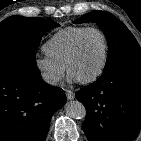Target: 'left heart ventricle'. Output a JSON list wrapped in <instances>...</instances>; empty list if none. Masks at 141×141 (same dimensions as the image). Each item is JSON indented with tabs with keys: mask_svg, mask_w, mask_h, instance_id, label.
<instances>
[{
	"mask_svg": "<svg viewBox=\"0 0 141 141\" xmlns=\"http://www.w3.org/2000/svg\"><path fill=\"white\" fill-rule=\"evenodd\" d=\"M104 57V42L96 32L88 33L81 44L79 53L70 66L78 80L92 76L101 66Z\"/></svg>",
	"mask_w": 141,
	"mask_h": 141,
	"instance_id": "1",
	"label": "left heart ventricle"
}]
</instances>
